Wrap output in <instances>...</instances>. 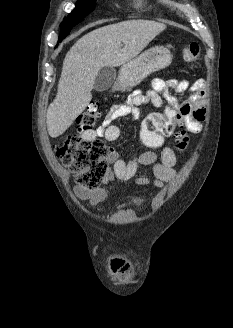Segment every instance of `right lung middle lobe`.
<instances>
[{"label":"right lung middle lobe","mask_w":233,"mask_h":328,"mask_svg":"<svg viewBox=\"0 0 233 328\" xmlns=\"http://www.w3.org/2000/svg\"><path fill=\"white\" fill-rule=\"evenodd\" d=\"M95 5L96 0H78L74 11L67 18H64L60 26L78 24L86 15L94 10Z\"/></svg>","instance_id":"obj_1"}]
</instances>
